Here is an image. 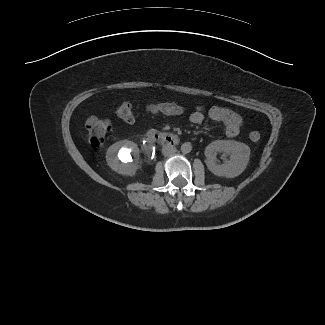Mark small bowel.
I'll return each instance as SVG.
<instances>
[{"mask_svg":"<svg viewBox=\"0 0 325 325\" xmlns=\"http://www.w3.org/2000/svg\"><path fill=\"white\" fill-rule=\"evenodd\" d=\"M143 109V107H142ZM205 107L197 106L194 111L189 115V120L195 125H200L205 120ZM208 116L211 120L221 123L225 126L226 135L230 138L236 137L242 125L241 117L234 111L214 106L208 109ZM182 116V115H181Z\"/></svg>","mask_w":325,"mask_h":325,"instance_id":"small-bowel-1","label":"small bowel"}]
</instances>
